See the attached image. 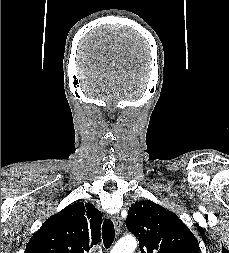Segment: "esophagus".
Listing matches in <instances>:
<instances>
[{
	"instance_id": "obj_1",
	"label": "esophagus",
	"mask_w": 229,
	"mask_h": 253,
	"mask_svg": "<svg viewBox=\"0 0 229 253\" xmlns=\"http://www.w3.org/2000/svg\"><path fill=\"white\" fill-rule=\"evenodd\" d=\"M112 219H113L116 231L120 232L123 226L122 219L118 215H114Z\"/></svg>"
}]
</instances>
